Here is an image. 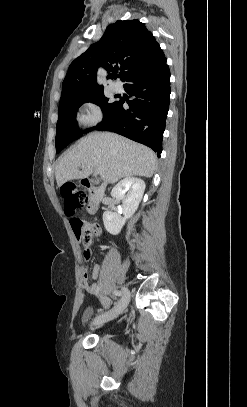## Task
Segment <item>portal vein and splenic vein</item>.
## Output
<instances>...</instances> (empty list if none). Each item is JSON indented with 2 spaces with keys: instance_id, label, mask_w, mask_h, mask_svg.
Returning a JSON list of instances; mask_svg holds the SVG:
<instances>
[{
  "instance_id": "18ae733b",
  "label": "portal vein and splenic vein",
  "mask_w": 247,
  "mask_h": 407,
  "mask_svg": "<svg viewBox=\"0 0 247 407\" xmlns=\"http://www.w3.org/2000/svg\"><path fill=\"white\" fill-rule=\"evenodd\" d=\"M101 170L100 169H96V174H100Z\"/></svg>"
}]
</instances>
